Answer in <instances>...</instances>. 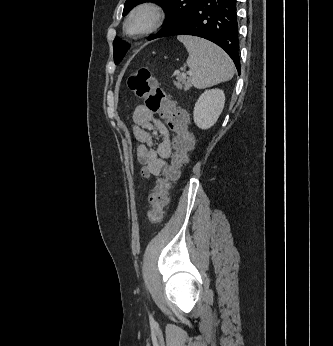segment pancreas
<instances>
[{"label":"pancreas","instance_id":"obj_1","mask_svg":"<svg viewBox=\"0 0 333 346\" xmlns=\"http://www.w3.org/2000/svg\"><path fill=\"white\" fill-rule=\"evenodd\" d=\"M178 86H182L184 84L185 89H189L191 87V79L187 77L184 73L177 74Z\"/></svg>","mask_w":333,"mask_h":346}]
</instances>
